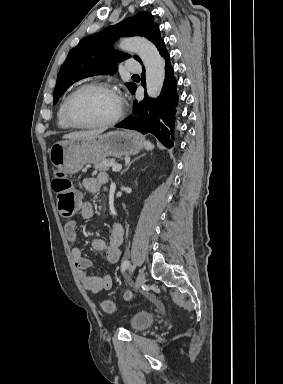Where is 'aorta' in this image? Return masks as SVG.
Listing matches in <instances>:
<instances>
[{
  "label": "aorta",
  "instance_id": "obj_1",
  "mask_svg": "<svg viewBox=\"0 0 283 384\" xmlns=\"http://www.w3.org/2000/svg\"><path fill=\"white\" fill-rule=\"evenodd\" d=\"M122 51L136 53L146 69V89L149 97L159 96L165 79V62L157 48L141 37H131L120 41Z\"/></svg>",
  "mask_w": 283,
  "mask_h": 384
}]
</instances>
